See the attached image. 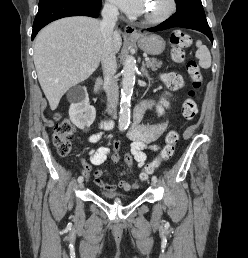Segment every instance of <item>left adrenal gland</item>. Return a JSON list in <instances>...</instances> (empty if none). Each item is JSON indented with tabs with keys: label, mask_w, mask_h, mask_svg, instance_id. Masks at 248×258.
Here are the masks:
<instances>
[{
	"label": "left adrenal gland",
	"mask_w": 248,
	"mask_h": 258,
	"mask_svg": "<svg viewBox=\"0 0 248 258\" xmlns=\"http://www.w3.org/2000/svg\"><path fill=\"white\" fill-rule=\"evenodd\" d=\"M141 71H142L146 76H148V71H147L146 68H145V63H144V61L142 62Z\"/></svg>",
	"instance_id": "1"
}]
</instances>
